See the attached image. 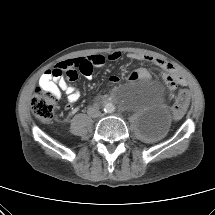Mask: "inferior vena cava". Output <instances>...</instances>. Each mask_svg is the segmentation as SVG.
<instances>
[{"mask_svg": "<svg viewBox=\"0 0 215 215\" xmlns=\"http://www.w3.org/2000/svg\"><path fill=\"white\" fill-rule=\"evenodd\" d=\"M87 113L92 118H96V117L101 116L100 110L95 106L89 107L88 110H87Z\"/></svg>", "mask_w": 215, "mask_h": 215, "instance_id": "obj_1", "label": "inferior vena cava"}]
</instances>
